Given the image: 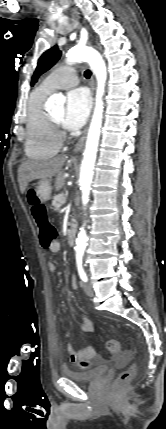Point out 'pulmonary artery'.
Segmentation results:
<instances>
[{
    "instance_id": "1",
    "label": "pulmonary artery",
    "mask_w": 166,
    "mask_h": 429,
    "mask_svg": "<svg viewBox=\"0 0 166 429\" xmlns=\"http://www.w3.org/2000/svg\"><path fill=\"white\" fill-rule=\"evenodd\" d=\"M77 82L76 70L73 67L64 66L50 73L42 82L41 87L47 91H53L72 87Z\"/></svg>"
}]
</instances>
